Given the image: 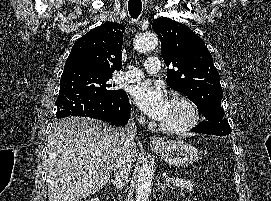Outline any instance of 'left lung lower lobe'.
Masks as SVG:
<instances>
[{
  "instance_id": "0a47b994",
  "label": "left lung lower lobe",
  "mask_w": 271,
  "mask_h": 201,
  "mask_svg": "<svg viewBox=\"0 0 271 201\" xmlns=\"http://www.w3.org/2000/svg\"><path fill=\"white\" fill-rule=\"evenodd\" d=\"M191 131L196 133L212 134L213 132L218 131V128L212 125H205L200 127L196 126Z\"/></svg>"
}]
</instances>
